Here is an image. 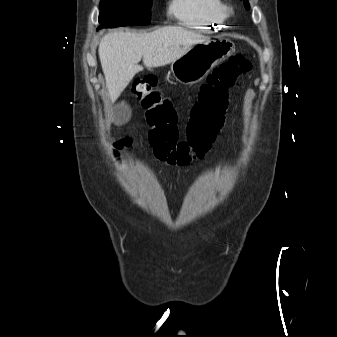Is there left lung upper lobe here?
I'll list each match as a JSON object with an SVG mask.
<instances>
[{
	"instance_id": "5c2ea615",
	"label": "left lung upper lobe",
	"mask_w": 337,
	"mask_h": 337,
	"mask_svg": "<svg viewBox=\"0 0 337 337\" xmlns=\"http://www.w3.org/2000/svg\"><path fill=\"white\" fill-rule=\"evenodd\" d=\"M243 1H244V5H245L246 9H249V8H250V6H249V3H248V1H247V0H243Z\"/></svg>"
}]
</instances>
